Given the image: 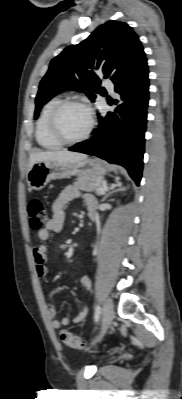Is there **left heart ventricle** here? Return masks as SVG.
Masks as SVG:
<instances>
[{"instance_id":"1","label":"left heart ventricle","mask_w":182,"mask_h":399,"mask_svg":"<svg viewBox=\"0 0 182 399\" xmlns=\"http://www.w3.org/2000/svg\"><path fill=\"white\" fill-rule=\"evenodd\" d=\"M58 124L61 133L65 137L74 139L80 137L86 131L89 119L84 108L71 105L61 111L58 117Z\"/></svg>"}]
</instances>
